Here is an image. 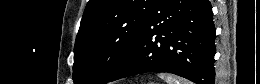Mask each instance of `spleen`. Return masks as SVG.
Masks as SVG:
<instances>
[{
    "instance_id": "spleen-1",
    "label": "spleen",
    "mask_w": 260,
    "mask_h": 84,
    "mask_svg": "<svg viewBox=\"0 0 260 84\" xmlns=\"http://www.w3.org/2000/svg\"><path fill=\"white\" fill-rule=\"evenodd\" d=\"M158 76L161 79H164L167 84H191V82H189L188 80L174 76L169 73H159Z\"/></svg>"
}]
</instances>
